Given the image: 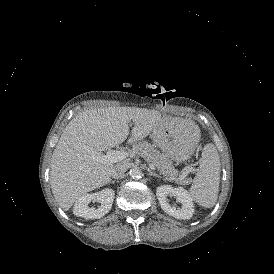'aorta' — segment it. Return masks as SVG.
<instances>
[{
  "label": "aorta",
  "instance_id": "aorta-1",
  "mask_svg": "<svg viewBox=\"0 0 274 274\" xmlns=\"http://www.w3.org/2000/svg\"><path fill=\"white\" fill-rule=\"evenodd\" d=\"M129 175L132 179L138 180L143 176L142 171L138 167H134L130 170Z\"/></svg>",
  "mask_w": 274,
  "mask_h": 274
}]
</instances>
